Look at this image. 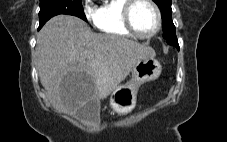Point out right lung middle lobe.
I'll list each match as a JSON object with an SVG mask.
<instances>
[{
  "label": "right lung middle lobe",
  "mask_w": 227,
  "mask_h": 142,
  "mask_svg": "<svg viewBox=\"0 0 227 142\" xmlns=\"http://www.w3.org/2000/svg\"><path fill=\"white\" fill-rule=\"evenodd\" d=\"M81 2V0H40L39 27L59 14L72 15L87 21Z\"/></svg>",
  "instance_id": "1"
}]
</instances>
